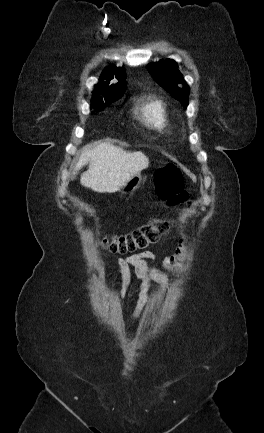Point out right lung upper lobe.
<instances>
[{
    "mask_svg": "<svg viewBox=\"0 0 264 433\" xmlns=\"http://www.w3.org/2000/svg\"><path fill=\"white\" fill-rule=\"evenodd\" d=\"M117 79L118 82L110 84L112 79ZM126 72L124 68L109 66L102 72L98 88L93 92L92 100L108 101L115 98H121L126 89Z\"/></svg>",
    "mask_w": 264,
    "mask_h": 433,
    "instance_id": "right-lung-upper-lobe-1",
    "label": "right lung upper lobe"
}]
</instances>
